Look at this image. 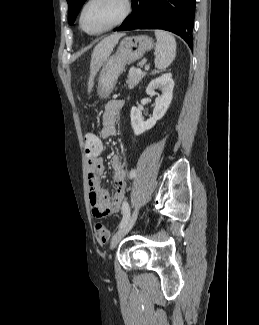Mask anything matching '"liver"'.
Instances as JSON below:
<instances>
[{
	"label": "liver",
	"mask_w": 259,
	"mask_h": 325,
	"mask_svg": "<svg viewBox=\"0 0 259 325\" xmlns=\"http://www.w3.org/2000/svg\"><path fill=\"white\" fill-rule=\"evenodd\" d=\"M122 36H124L123 33L110 35L96 45L91 56V77L96 74L102 64L107 60ZM92 85L91 82L90 88Z\"/></svg>",
	"instance_id": "obj_1"
}]
</instances>
